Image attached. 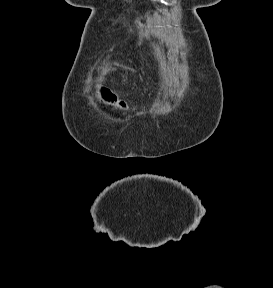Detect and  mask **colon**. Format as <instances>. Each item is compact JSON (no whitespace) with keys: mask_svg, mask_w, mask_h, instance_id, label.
Instances as JSON below:
<instances>
[{"mask_svg":"<svg viewBox=\"0 0 273 288\" xmlns=\"http://www.w3.org/2000/svg\"><path fill=\"white\" fill-rule=\"evenodd\" d=\"M100 95L104 100H107L109 102L116 100L115 97L108 90L104 88L100 90Z\"/></svg>","mask_w":273,"mask_h":288,"instance_id":"5ec220e1","label":"colon"}]
</instances>
